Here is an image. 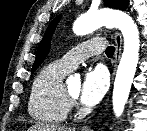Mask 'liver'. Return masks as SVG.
I'll use <instances>...</instances> for the list:
<instances>
[{
	"label": "liver",
	"mask_w": 147,
	"mask_h": 131,
	"mask_svg": "<svg viewBox=\"0 0 147 131\" xmlns=\"http://www.w3.org/2000/svg\"><path fill=\"white\" fill-rule=\"evenodd\" d=\"M28 131H74V130L65 126L37 123L31 126Z\"/></svg>",
	"instance_id": "obj_1"
}]
</instances>
